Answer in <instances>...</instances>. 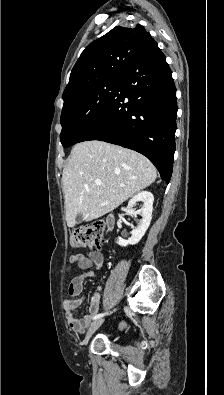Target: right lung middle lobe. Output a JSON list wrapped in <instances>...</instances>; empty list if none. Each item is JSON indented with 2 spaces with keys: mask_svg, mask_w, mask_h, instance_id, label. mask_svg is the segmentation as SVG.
I'll return each instance as SVG.
<instances>
[{
  "mask_svg": "<svg viewBox=\"0 0 224 395\" xmlns=\"http://www.w3.org/2000/svg\"><path fill=\"white\" fill-rule=\"evenodd\" d=\"M122 77L97 81L63 98L61 114L63 147H69L87 133L93 120L106 108Z\"/></svg>",
  "mask_w": 224,
  "mask_h": 395,
  "instance_id": "dd1d6c3e",
  "label": "right lung middle lobe"
}]
</instances>
